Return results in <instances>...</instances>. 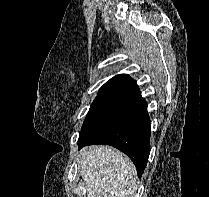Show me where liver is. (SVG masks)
I'll list each match as a JSON object with an SVG mask.
<instances>
[{"instance_id":"obj_1","label":"liver","mask_w":209,"mask_h":197,"mask_svg":"<svg viewBox=\"0 0 209 197\" xmlns=\"http://www.w3.org/2000/svg\"><path fill=\"white\" fill-rule=\"evenodd\" d=\"M79 167L88 197H132L136 189L132 161L112 147L84 148Z\"/></svg>"}]
</instances>
